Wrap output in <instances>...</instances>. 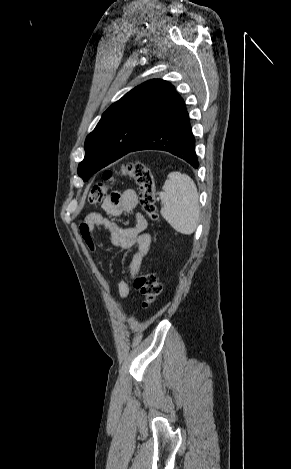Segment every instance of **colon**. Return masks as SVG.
Masks as SVG:
<instances>
[{
    "mask_svg": "<svg viewBox=\"0 0 291 469\" xmlns=\"http://www.w3.org/2000/svg\"><path fill=\"white\" fill-rule=\"evenodd\" d=\"M117 176L133 179L140 190V203L146 216L157 221L156 185L152 171L143 163H128L119 172L107 170L103 174V181L94 185L89 193L88 202L98 204L107 197L109 190L115 183ZM134 287L142 296V306L147 308L162 291V285L153 273L141 272L134 279Z\"/></svg>",
    "mask_w": 291,
    "mask_h": 469,
    "instance_id": "5ec220e1",
    "label": "colon"
}]
</instances>
